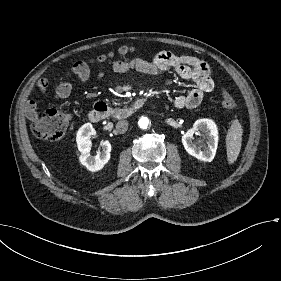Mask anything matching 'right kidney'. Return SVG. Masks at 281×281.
I'll use <instances>...</instances> for the list:
<instances>
[{"label":"right kidney","instance_id":"obj_1","mask_svg":"<svg viewBox=\"0 0 281 281\" xmlns=\"http://www.w3.org/2000/svg\"><path fill=\"white\" fill-rule=\"evenodd\" d=\"M97 132L91 123L84 124L77 133V144L80 152V162L91 172H99L111 158V143L106 140L103 143V151L96 156L90 153L91 140Z\"/></svg>","mask_w":281,"mask_h":281}]
</instances>
